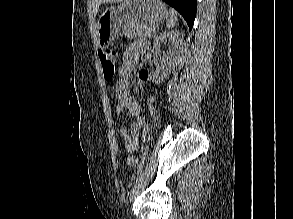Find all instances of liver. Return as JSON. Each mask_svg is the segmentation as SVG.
<instances>
[{"mask_svg": "<svg viewBox=\"0 0 293 219\" xmlns=\"http://www.w3.org/2000/svg\"><path fill=\"white\" fill-rule=\"evenodd\" d=\"M124 0H93L92 1V6H93V13L94 15L97 14L98 10H99V6L102 3H119L122 2Z\"/></svg>", "mask_w": 293, "mask_h": 219, "instance_id": "liver-1", "label": "liver"}]
</instances>
